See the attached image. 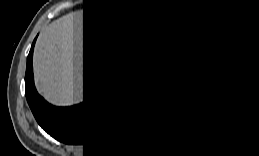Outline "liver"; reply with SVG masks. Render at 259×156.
<instances>
[{"label": "liver", "instance_id": "6515ba94", "mask_svg": "<svg viewBox=\"0 0 259 156\" xmlns=\"http://www.w3.org/2000/svg\"><path fill=\"white\" fill-rule=\"evenodd\" d=\"M83 11L56 20L35 46L34 80L52 104L70 105L83 98Z\"/></svg>", "mask_w": 259, "mask_h": 156}]
</instances>
